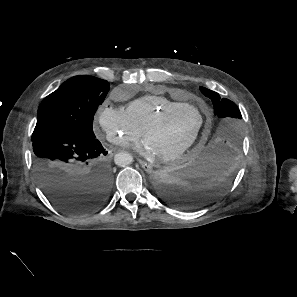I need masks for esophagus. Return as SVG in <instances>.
<instances>
[{
  "mask_svg": "<svg viewBox=\"0 0 297 297\" xmlns=\"http://www.w3.org/2000/svg\"><path fill=\"white\" fill-rule=\"evenodd\" d=\"M139 163L141 164L142 168L145 171H147V172H151L152 171L153 168H152V166L149 163H147V162H145L143 160H139Z\"/></svg>",
  "mask_w": 297,
  "mask_h": 297,
  "instance_id": "34e87169",
  "label": "esophagus"
}]
</instances>
